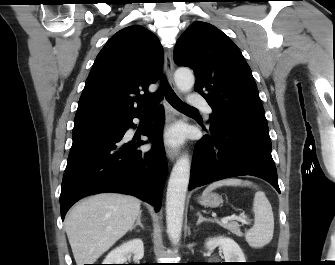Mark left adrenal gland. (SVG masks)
Instances as JSON below:
<instances>
[{
  "label": "left adrenal gland",
  "mask_w": 335,
  "mask_h": 265,
  "mask_svg": "<svg viewBox=\"0 0 335 265\" xmlns=\"http://www.w3.org/2000/svg\"><path fill=\"white\" fill-rule=\"evenodd\" d=\"M197 216H198V221L196 223L197 225L201 224L204 221H212L211 219L203 217L201 212H197Z\"/></svg>",
  "instance_id": "obj_1"
}]
</instances>
